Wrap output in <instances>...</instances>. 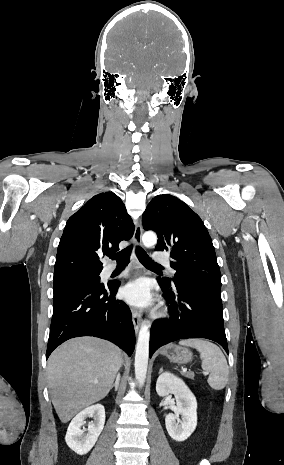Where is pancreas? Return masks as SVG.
Masks as SVG:
<instances>
[{"label":"pancreas","instance_id":"pancreas-1","mask_svg":"<svg viewBox=\"0 0 284 465\" xmlns=\"http://www.w3.org/2000/svg\"><path fill=\"white\" fill-rule=\"evenodd\" d=\"M184 377H188V379H194V373L192 371H188V373H182Z\"/></svg>","mask_w":284,"mask_h":465}]
</instances>
